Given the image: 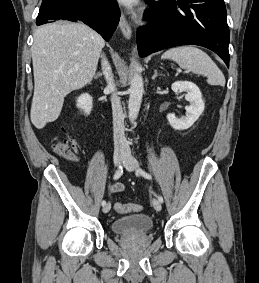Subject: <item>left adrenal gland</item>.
<instances>
[{"label": "left adrenal gland", "instance_id": "1", "mask_svg": "<svg viewBox=\"0 0 259 283\" xmlns=\"http://www.w3.org/2000/svg\"><path fill=\"white\" fill-rule=\"evenodd\" d=\"M158 75H159L158 71L154 70V75L152 76V80H154Z\"/></svg>", "mask_w": 259, "mask_h": 283}]
</instances>
